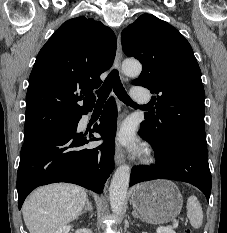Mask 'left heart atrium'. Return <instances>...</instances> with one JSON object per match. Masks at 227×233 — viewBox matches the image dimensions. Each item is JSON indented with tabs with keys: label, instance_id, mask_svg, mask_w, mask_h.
<instances>
[{
	"label": "left heart atrium",
	"instance_id": "left-heart-atrium-1",
	"mask_svg": "<svg viewBox=\"0 0 227 233\" xmlns=\"http://www.w3.org/2000/svg\"><path fill=\"white\" fill-rule=\"evenodd\" d=\"M116 142L125 148L130 150L138 149V141L135 136L133 127L130 123L126 122L121 125L118 131L115 134Z\"/></svg>",
	"mask_w": 227,
	"mask_h": 233
}]
</instances>
